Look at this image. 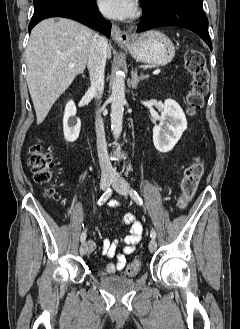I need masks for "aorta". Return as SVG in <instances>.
<instances>
[{
    "label": "aorta",
    "instance_id": "762f6f07",
    "mask_svg": "<svg viewBox=\"0 0 240 329\" xmlns=\"http://www.w3.org/2000/svg\"><path fill=\"white\" fill-rule=\"evenodd\" d=\"M111 100V128L114 139L117 141L122 131L123 112L126 102L125 81L121 72H116L113 80Z\"/></svg>",
    "mask_w": 240,
    "mask_h": 329
}]
</instances>
